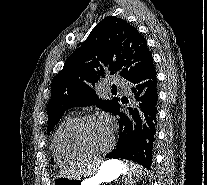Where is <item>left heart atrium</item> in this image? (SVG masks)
I'll return each instance as SVG.
<instances>
[{"mask_svg":"<svg viewBox=\"0 0 207 185\" xmlns=\"http://www.w3.org/2000/svg\"><path fill=\"white\" fill-rule=\"evenodd\" d=\"M101 121H103L105 124H107L109 127H111V119L108 116H103Z\"/></svg>","mask_w":207,"mask_h":185,"instance_id":"obj_1","label":"left heart atrium"}]
</instances>
